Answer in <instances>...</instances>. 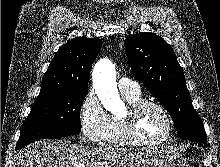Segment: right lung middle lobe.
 I'll return each mask as SVG.
<instances>
[{
	"label": "right lung middle lobe",
	"mask_w": 220,
	"mask_h": 167,
	"mask_svg": "<svg viewBox=\"0 0 220 167\" xmlns=\"http://www.w3.org/2000/svg\"><path fill=\"white\" fill-rule=\"evenodd\" d=\"M88 89H68L35 100L24 121L16 149L43 138L57 139L81 131L80 110Z\"/></svg>",
	"instance_id": "obj_1"
}]
</instances>
